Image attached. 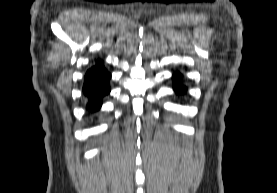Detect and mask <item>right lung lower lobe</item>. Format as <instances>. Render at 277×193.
Listing matches in <instances>:
<instances>
[{"instance_id":"98d812e1","label":"right lung lower lobe","mask_w":277,"mask_h":193,"mask_svg":"<svg viewBox=\"0 0 277 193\" xmlns=\"http://www.w3.org/2000/svg\"><path fill=\"white\" fill-rule=\"evenodd\" d=\"M110 77V73L106 71L100 61L86 72L83 92L89 99L87 108L90 111L98 110L102 104V97L110 92Z\"/></svg>"}]
</instances>
